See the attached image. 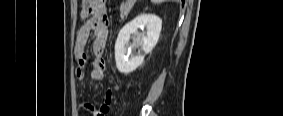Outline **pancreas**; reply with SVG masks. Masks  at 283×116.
<instances>
[{
  "label": "pancreas",
  "mask_w": 283,
  "mask_h": 116,
  "mask_svg": "<svg viewBox=\"0 0 283 116\" xmlns=\"http://www.w3.org/2000/svg\"><path fill=\"white\" fill-rule=\"evenodd\" d=\"M130 12V7L126 4L125 6L120 7V17L124 18Z\"/></svg>",
  "instance_id": "obj_1"
}]
</instances>
